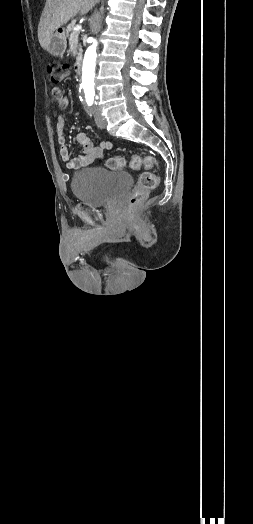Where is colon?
Instances as JSON below:
<instances>
[{
    "label": "colon",
    "mask_w": 253,
    "mask_h": 524,
    "mask_svg": "<svg viewBox=\"0 0 253 524\" xmlns=\"http://www.w3.org/2000/svg\"><path fill=\"white\" fill-rule=\"evenodd\" d=\"M47 71L51 80L58 83L69 73V66L65 63L54 61L48 64ZM107 166L112 170H121L126 166V162L123 157L115 156L108 160ZM155 166L156 161L151 156L142 159L139 155H133L130 159V167L134 170H139L142 167L153 169ZM158 184L159 175L155 170L141 173L137 185L130 196L129 205L132 207L138 205L151 190L157 187Z\"/></svg>",
    "instance_id": "colon-1"
}]
</instances>
